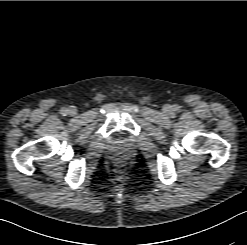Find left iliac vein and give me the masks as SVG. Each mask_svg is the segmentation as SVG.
Wrapping results in <instances>:
<instances>
[{
	"label": "left iliac vein",
	"instance_id": "4c4485c4",
	"mask_svg": "<svg viewBox=\"0 0 247 245\" xmlns=\"http://www.w3.org/2000/svg\"><path fill=\"white\" fill-rule=\"evenodd\" d=\"M163 111H164L165 113H169V112L171 111V106L165 105V106L163 107Z\"/></svg>",
	"mask_w": 247,
	"mask_h": 245
}]
</instances>
